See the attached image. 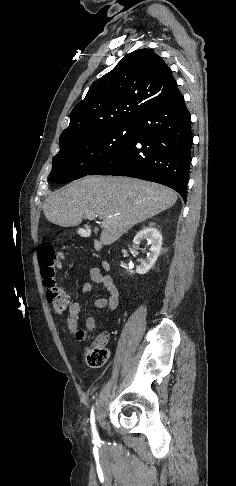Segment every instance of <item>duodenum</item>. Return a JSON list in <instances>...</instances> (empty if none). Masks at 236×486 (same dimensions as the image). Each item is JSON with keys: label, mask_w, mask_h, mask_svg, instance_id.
Here are the masks:
<instances>
[{"label": "duodenum", "mask_w": 236, "mask_h": 486, "mask_svg": "<svg viewBox=\"0 0 236 486\" xmlns=\"http://www.w3.org/2000/svg\"><path fill=\"white\" fill-rule=\"evenodd\" d=\"M96 248H97L98 250H100V249L102 248L101 244H99V243H98V244L96 245ZM103 266H104L105 268H108V263H107L106 261H103Z\"/></svg>", "instance_id": "410a0bca"}]
</instances>
